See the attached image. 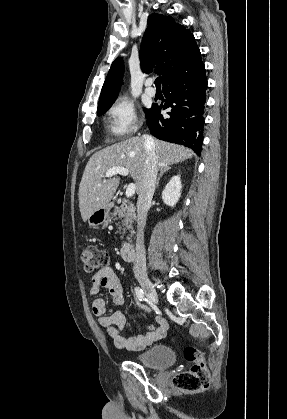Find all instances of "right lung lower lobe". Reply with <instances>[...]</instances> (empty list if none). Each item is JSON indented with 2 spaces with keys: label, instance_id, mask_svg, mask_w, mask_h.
I'll list each match as a JSON object with an SVG mask.
<instances>
[{
  "label": "right lung lower lobe",
  "instance_id": "98d812e1",
  "mask_svg": "<svg viewBox=\"0 0 287 419\" xmlns=\"http://www.w3.org/2000/svg\"><path fill=\"white\" fill-rule=\"evenodd\" d=\"M207 78L205 68L163 85L164 105L154 104L146 123L158 139L187 146L198 155L203 143ZM170 108L166 116L162 109Z\"/></svg>",
  "mask_w": 287,
  "mask_h": 419
}]
</instances>
